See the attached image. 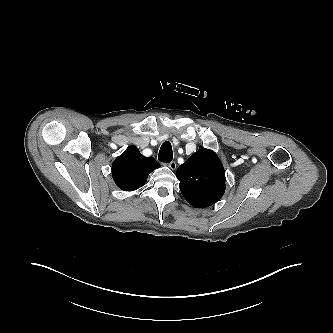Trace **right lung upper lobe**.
<instances>
[{
    "label": "right lung upper lobe",
    "mask_w": 333,
    "mask_h": 333,
    "mask_svg": "<svg viewBox=\"0 0 333 333\" xmlns=\"http://www.w3.org/2000/svg\"><path fill=\"white\" fill-rule=\"evenodd\" d=\"M160 167L153 157H145L131 145L112 164V176L116 185L124 191L142 187L150 172Z\"/></svg>",
    "instance_id": "cb5924a9"
}]
</instances>
